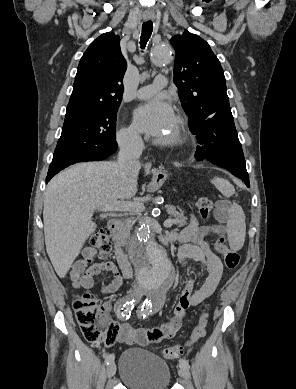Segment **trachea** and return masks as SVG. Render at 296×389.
<instances>
[{
	"label": "trachea",
	"instance_id": "1",
	"mask_svg": "<svg viewBox=\"0 0 296 389\" xmlns=\"http://www.w3.org/2000/svg\"><path fill=\"white\" fill-rule=\"evenodd\" d=\"M153 31L152 22H144L142 25V34L140 37L141 49H144Z\"/></svg>",
	"mask_w": 296,
	"mask_h": 389
}]
</instances>
